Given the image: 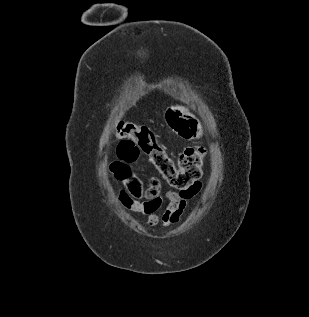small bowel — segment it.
<instances>
[{
	"label": "small bowel",
	"instance_id": "c3829d8e",
	"mask_svg": "<svg viewBox=\"0 0 309 317\" xmlns=\"http://www.w3.org/2000/svg\"><path fill=\"white\" fill-rule=\"evenodd\" d=\"M130 151L131 149L127 145L122 149L117 148V158L109 166L113 177L123 185L118 192V201L125 208L144 215V223L149 227L159 224L169 227L177 224L188 202L201 191L202 183L198 181L185 192H162L156 178L145 186L133 170L135 161L124 156ZM165 201L167 205L161 211Z\"/></svg>",
	"mask_w": 309,
	"mask_h": 317
}]
</instances>
